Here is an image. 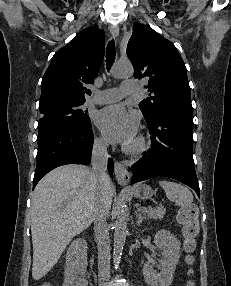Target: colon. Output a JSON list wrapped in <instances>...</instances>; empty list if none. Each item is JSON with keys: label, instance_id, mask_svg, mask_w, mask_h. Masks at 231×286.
<instances>
[{"label": "colon", "instance_id": "obj_1", "mask_svg": "<svg viewBox=\"0 0 231 286\" xmlns=\"http://www.w3.org/2000/svg\"><path fill=\"white\" fill-rule=\"evenodd\" d=\"M177 220L182 226L184 237V249L187 254L186 261L189 265L193 263V252L196 247V237L199 234L198 209L195 204H187L183 206L177 215ZM192 273V270H189ZM42 286H53L50 283H45ZM187 286H195L193 281H189Z\"/></svg>", "mask_w": 231, "mask_h": 286}]
</instances>
